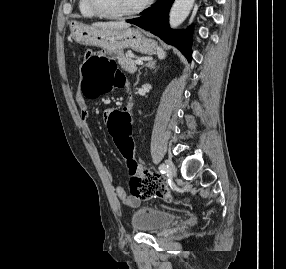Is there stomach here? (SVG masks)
Masks as SVG:
<instances>
[{
    "label": "stomach",
    "mask_w": 286,
    "mask_h": 269,
    "mask_svg": "<svg viewBox=\"0 0 286 269\" xmlns=\"http://www.w3.org/2000/svg\"><path fill=\"white\" fill-rule=\"evenodd\" d=\"M71 36L79 44L100 47L102 49L130 48L143 54L156 51V42L147 38L139 29H103L87 26L77 21L70 24Z\"/></svg>",
    "instance_id": "1"
}]
</instances>
